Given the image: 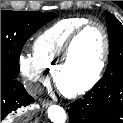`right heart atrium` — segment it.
I'll return each mask as SVG.
<instances>
[{"instance_id": "d8ad5b80", "label": "right heart atrium", "mask_w": 123, "mask_h": 123, "mask_svg": "<svg viewBox=\"0 0 123 123\" xmlns=\"http://www.w3.org/2000/svg\"><path fill=\"white\" fill-rule=\"evenodd\" d=\"M18 67L22 76L31 83H45L48 80L45 69L33 54L21 53L18 56Z\"/></svg>"}]
</instances>
